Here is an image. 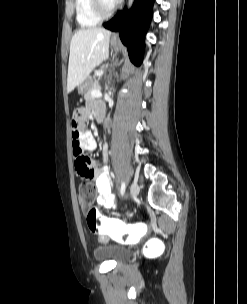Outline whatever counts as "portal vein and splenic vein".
Masks as SVG:
<instances>
[{"instance_id": "obj_1", "label": "portal vein and splenic vein", "mask_w": 247, "mask_h": 304, "mask_svg": "<svg viewBox=\"0 0 247 304\" xmlns=\"http://www.w3.org/2000/svg\"><path fill=\"white\" fill-rule=\"evenodd\" d=\"M91 96L92 97H101L102 96V93L100 90H92L91 91Z\"/></svg>"}]
</instances>
